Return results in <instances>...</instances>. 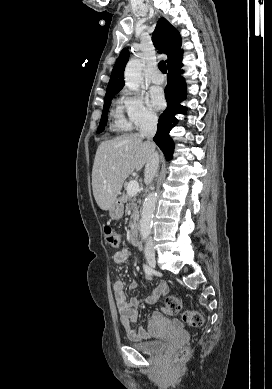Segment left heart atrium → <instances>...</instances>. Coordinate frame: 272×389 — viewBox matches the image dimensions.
<instances>
[{
  "label": "left heart atrium",
  "mask_w": 272,
  "mask_h": 389,
  "mask_svg": "<svg viewBox=\"0 0 272 389\" xmlns=\"http://www.w3.org/2000/svg\"><path fill=\"white\" fill-rule=\"evenodd\" d=\"M150 104L153 108L161 110L165 106V99L160 91H152L150 93Z\"/></svg>",
  "instance_id": "left-heart-atrium-1"
}]
</instances>
